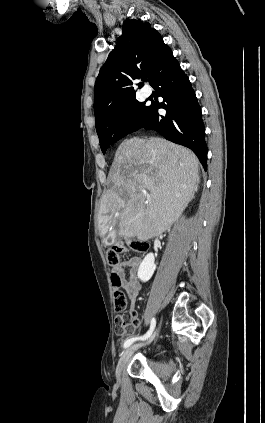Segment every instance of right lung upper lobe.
Wrapping results in <instances>:
<instances>
[{
	"label": "right lung upper lobe",
	"mask_w": 265,
	"mask_h": 423,
	"mask_svg": "<svg viewBox=\"0 0 265 423\" xmlns=\"http://www.w3.org/2000/svg\"><path fill=\"white\" fill-rule=\"evenodd\" d=\"M173 59L171 49L149 23L126 19L122 35L95 82V123H99L120 103L135 96L132 80L147 74L152 84ZM138 85L141 87V83Z\"/></svg>",
	"instance_id": "obj_1"
}]
</instances>
